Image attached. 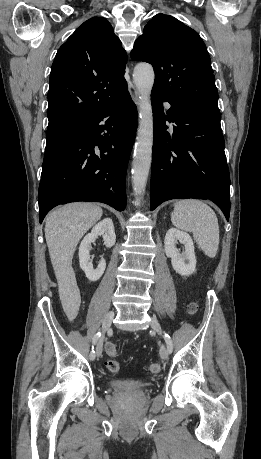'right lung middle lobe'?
Here are the masks:
<instances>
[{
    "label": "right lung middle lobe",
    "instance_id": "right-lung-middle-lobe-1",
    "mask_svg": "<svg viewBox=\"0 0 261 459\" xmlns=\"http://www.w3.org/2000/svg\"><path fill=\"white\" fill-rule=\"evenodd\" d=\"M82 125L83 123L81 122L67 121L48 126L46 133V150H49L60 144L63 140L78 130Z\"/></svg>",
    "mask_w": 261,
    "mask_h": 459
}]
</instances>
